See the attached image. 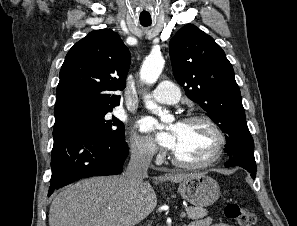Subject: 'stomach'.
I'll return each mask as SVG.
<instances>
[{
	"label": "stomach",
	"instance_id": "stomach-1",
	"mask_svg": "<svg viewBox=\"0 0 297 226\" xmlns=\"http://www.w3.org/2000/svg\"><path fill=\"white\" fill-rule=\"evenodd\" d=\"M178 191L191 204L206 207L220 196L218 183L204 173L193 174L179 183Z\"/></svg>",
	"mask_w": 297,
	"mask_h": 226
}]
</instances>
